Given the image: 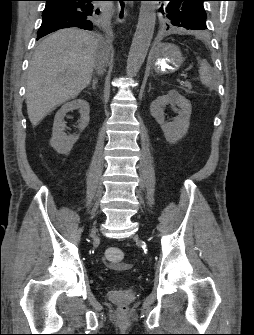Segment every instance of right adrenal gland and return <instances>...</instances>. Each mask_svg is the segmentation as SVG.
Segmentation results:
<instances>
[{"label": "right adrenal gland", "instance_id": "1", "mask_svg": "<svg viewBox=\"0 0 254 335\" xmlns=\"http://www.w3.org/2000/svg\"><path fill=\"white\" fill-rule=\"evenodd\" d=\"M97 84H98V80L96 78H94L93 81H92V89L93 90L97 89Z\"/></svg>", "mask_w": 254, "mask_h": 335}]
</instances>
